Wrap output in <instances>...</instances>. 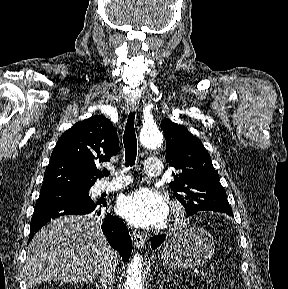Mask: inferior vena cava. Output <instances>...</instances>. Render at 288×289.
Masks as SVG:
<instances>
[{
	"instance_id": "1",
	"label": "inferior vena cava",
	"mask_w": 288,
	"mask_h": 289,
	"mask_svg": "<svg viewBox=\"0 0 288 289\" xmlns=\"http://www.w3.org/2000/svg\"><path fill=\"white\" fill-rule=\"evenodd\" d=\"M116 265L109 263L107 267L100 273V283L102 289H111L115 277Z\"/></svg>"
}]
</instances>
